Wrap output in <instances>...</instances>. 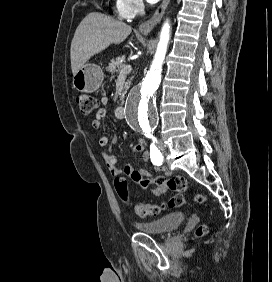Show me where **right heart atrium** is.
<instances>
[{
	"instance_id": "1",
	"label": "right heart atrium",
	"mask_w": 272,
	"mask_h": 282,
	"mask_svg": "<svg viewBox=\"0 0 272 282\" xmlns=\"http://www.w3.org/2000/svg\"><path fill=\"white\" fill-rule=\"evenodd\" d=\"M144 4L142 0H120L117 6L119 15L126 18H133L142 12Z\"/></svg>"
}]
</instances>
